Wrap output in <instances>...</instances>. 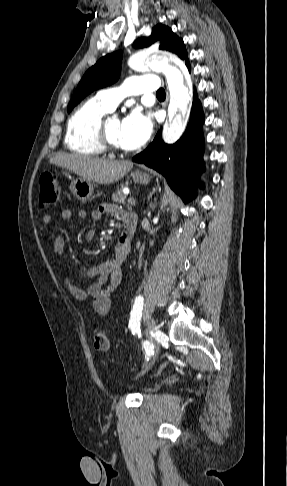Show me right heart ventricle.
<instances>
[{"label": "right heart ventricle", "mask_w": 287, "mask_h": 486, "mask_svg": "<svg viewBox=\"0 0 287 486\" xmlns=\"http://www.w3.org/2000/svg\"><path fill=\"white\" fill-rule=\"evenodd\" d=\"M110 111L96 98L81 104L70 116L65 134L67 149L75 154L97 157L104 153L98 141V128Z\"/></svg>", "instance_id": "right-heart-ventricle-1"}]
</instances>
